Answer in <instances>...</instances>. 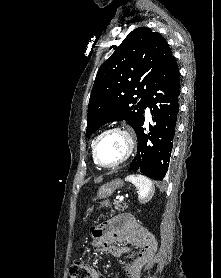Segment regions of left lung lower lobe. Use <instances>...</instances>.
Wrapping results in <instances>:
<instances>
[{
	"label": "left lung lower lobe",
	"instance_id": "0a47b994",
	"mask_svg": "<svg viewBox=\"0 0 221 278\" xmlns=\"http://www.w3.org/2000/svg\"><path fill=\"white\" fill-rule=\"evenodd\" d=\"M179 98L180 74L176 60L172 57L146 96L145 108L151 109L155 125L149 124L150 132L145 134L143 115L135 131L138 140L137 155L129 170L139 171L154 180H163L168 171L176 133Z\"/></svg>",
	"mask_w": 221,
	"mask_h": 278
}]
</instances>
